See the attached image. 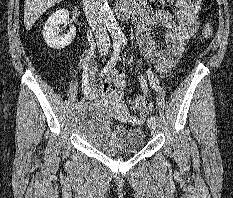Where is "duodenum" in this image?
<instances>
[{
    "label": "duodenum",
    "instance_id": "1",
    "mask_svg": "<svg viewBox=\"0 0 233 198\" xmlns=\"http://www.w3.org/2000/svg\"><path fill=\"white\" fill-rule=\"evenodd\" d=\"M143 3L144 0H124L119 9L120 16L123 19L130 18Z\"/></svg>",
    "mask_w": 233,
    "mask_h": 198
}]
</instances>
